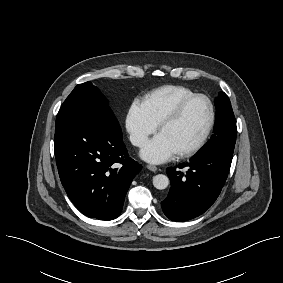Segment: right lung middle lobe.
<instances>
[{
    "label": "right lung middle lobe",
    "instance_id": "right-lung-middle-lobe-1",
    "mask_svg": "<svg viewBox=\"0 0 283 283\" xmlns=\"http://www.w3.org/2000/svg\"><path fill=\"white\" fill-rule=\"evenodd\" d=\"M104 111H111L106 98L88 81L78 84L64 101L56 117V125L83 113Z\"/></svg>",
    "mask_w": 283,
    "mask_h": 283
}]
</instances>
